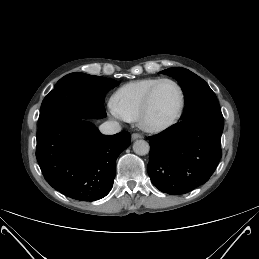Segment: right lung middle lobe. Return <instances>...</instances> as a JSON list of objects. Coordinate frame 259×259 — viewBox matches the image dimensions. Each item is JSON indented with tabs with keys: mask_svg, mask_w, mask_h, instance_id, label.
Listing matches in <instances>:
<instances>
[{
	"mask_svg": "<svg viewBox=\"0 0 259 259\" xmlns=\"http://www.w3.org/2000/svg\"><path fill=\"white\" fill-rule=\"evenodd\" d=\"M117 85L118 82L113 79L70 73L61 78L44 98L38 122L40 124L62 114L102 119L106 116L104 95Z\"/></svg>",
	"mask_w": 259,
	"mask_h": 259,
	"instance_id": "1",
	"label": "right lung middle lobe"
}]
</instances>
